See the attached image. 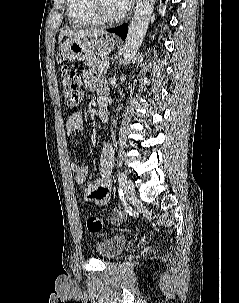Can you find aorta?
<instances>
[{"mask_svg": "<svg viewBox=\"0 0 239 303\" xmlns=\"http://www.w3.org/2000/svg\"><path fill=\"white\" fill-rule=\"evenodd\" d=\"M155 0H137L125 44L123 47V64L131 63L135 53L140 48L153 13Z\"/></svg>", "mask_w": 239, "mask_h": 303, "instance_id": "aorta-1", "label": "aorta"}]
</instances>
